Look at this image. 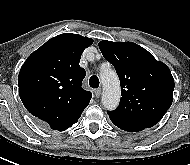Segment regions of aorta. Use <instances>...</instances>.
I'll use <instances>...</instances> for the list:
<instances>
[{
  "instance_id": "aorta-1",
  "label": "aorta",
  "mask_w": 190,
  "mask_h": 165,
  "mask_svg": "<svg viewBox=\"0 0 190 165\" xmlns=\"http://www.w3.org/2000/svg\"><path fill=\"white\" fill-rule=\"evenodd\" d=\"M103 93L102 103L108 110L115 109L120 101V83L113 70H107L101 74Z\"/></svg>"
}]
</instances>
